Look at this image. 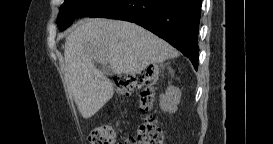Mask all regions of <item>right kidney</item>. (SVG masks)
Here are the masks:
<instances>
[{
    "instance_id": "obj_1",
    "label": "right kidney",
    "mask_w": 273,
    "mask_h": 144,
    "mask_svg": "<svg viewBox=\"0 0 273 144\" xmlns=\"http://www.w3.org/2000/svg\"><path fill=\"white\" fill-rule=\"evenodd\" d=\"M181 92L178 88L170 86L165 94L160 96V107L163 111L175 113L180 102Z\"/></svg>"
}]
</instances>
